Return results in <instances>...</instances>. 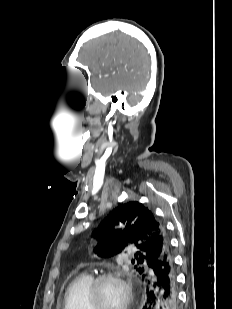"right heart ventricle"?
<instances>
[{
  "mask_svg": "<svg viewBox=\"0 0 232 309\" xmlns=\"http://www.w3.org/2000/svg\"><path fill=\"white\" fill-rule=\"evenodd\" d=\"M91 281L88 273H81L72 280L65 292L64 309H90L87 294Z\"/></svg>",
  "mask_w": 232,
  "mask_h": 309,
  "instance_id": "obj_1",
  "label": "right heart ventricle"
}]
</instances>
